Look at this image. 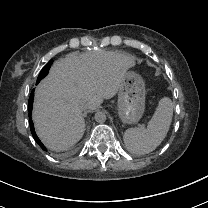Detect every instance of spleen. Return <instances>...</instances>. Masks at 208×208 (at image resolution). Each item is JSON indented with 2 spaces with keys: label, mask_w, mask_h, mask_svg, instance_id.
<instances>
[{
  "label": "spleen",
  "mask_w": 208,
  "mask_h": 208,
  "mask_svg": "<svg viewBox=\"0 0 208 208\" xmlns=\"http://www.w3.org/2000/svg\"><path fill=\"white\" fill-rule=\"evenodd\" d=\"M173 116V103L168 97L159 101L155 114L146 129L130 128L123 135L127 149L143 155L152 152L165 138Z\"/></svg>",
  "instance_id": "spleen-1"
}]
</instances>
